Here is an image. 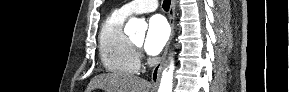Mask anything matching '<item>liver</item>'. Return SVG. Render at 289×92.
Returning <instances> with one entry per match:
<instances>
[{"mask_svg":"<svg viewBox=\"0 0 289 92\" xmlns=\"http://www.w3.org/2000/svg\"><path fill=\"white\" fill-rule=\"evenodd\" d=\"M150 83L136 76L107 73L91 79L86 92L102 89L106 92H149Z\"/></svg>","mask_w":289,"mask_h":92,"instance_id":"6515ba94","label":"liver"}]
</instances>
